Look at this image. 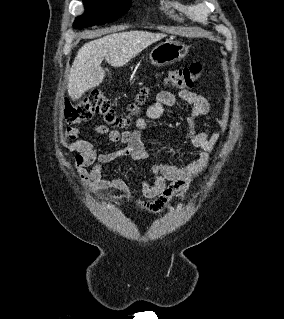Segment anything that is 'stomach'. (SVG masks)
Segmentation results:
<instances>
[{
	"label": "stomach",
	"instance_id": "0dacf381",
	"mask_svg": "<svg viewBox=\"0 0 284 319\" xmlns=\"http://www.w3.org/2000/svg\"><path fill=\"white\" fill-rule=\"evenodd\" d=\"M188 54V47L180 41L167 40L155 46L150 53L153 65L163 66L181 60Z\"/></svg>",
	"mask_w": 284,
	"mask_h": 319
}]
</instances>
